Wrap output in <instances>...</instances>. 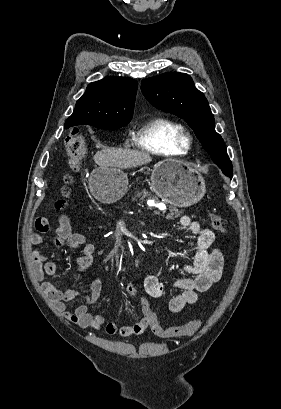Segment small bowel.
<instances>
[{
  "label": "small bowel",
  "mask_w": 281,
  "mask_h": 409,
  "mask_svg": "<svg viewBox=\"0 0 281 409\" xmlns=\"http://www.w3.org/2000/svg\"><path fill=\"white\" fill-rule=\"evenodd\" d=\"M37 222L29 228V243L39 245L43 241V235H49L50 223L46 222L45 215H38ZM180 225L188 229L194 239L191 244L192 262L185 266L189 277L176 281L175 286L181 290L167 305V311L171 315L179 313L184 306L194 304L198 300V294L207 291L214 283L219 281L224 266V256L217 249H211L214 242V233L189 216H182ZM68 247L77 250L80 257L77 260L78 272L75 279L82 278L83 271L92 263L95 245L87 241L81 233L72 231L69 218L62 215L59 218V226L56 229L54 248ZM32 259L35 264L36 274L42 282V288L48 298L53 301L62 316L70 322L77 324L82 328H92L95 330L104 329L107 334H119L124 337L139 335L148 327L157 317L149 303L140 298V305L143 312V318L131 325L120 326L113 321H108L104 316L92 314L89 307L96 304L101 292L102 283L99 279H92L90 282V292L82 293L76 289L70 288L62 290L56 287L51 281L44 280V276H54L60 270L61 266L53 261H48L47 255L41 250L32 252ZM145 291L153 297H160L164 292V285L156 274H148L143 280ZM125 291L129 296L138 295L136 285L129 283L125 286ZM76 297H83L85 304L79 305L73 312L69 311V303Z\"/></svg>",
  "instance_id": "obj_1"
}]
</instances>
